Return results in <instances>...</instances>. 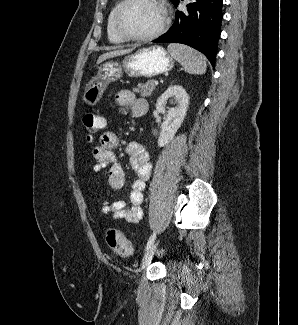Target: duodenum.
I'll return each mask as SVG.
<instances>
[{"instance_id": "1", "label": "duodenum", "mask_w": 298, "mask_h": 325, "mask_svg": "<svg viewBox=\"0 0 298 325\" xmlns=\"http://www.w3.org/2000/svg\"><path fill=\"white\" fill-rule=\"evenodd\" d=\"M147 111V105L146 103H140L137 105L136 109H135V115L140 117L143 116Z\"/></svg>"}]
</instances>
